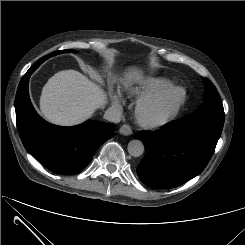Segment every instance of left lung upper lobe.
<instances>
[{
	"label": "left lung upper lobe",
	"instance_id": "obj_1",
	"mask_svg": "<svg viewBox=\"0 0 245 245\" xmlns=\"http://www.w3.org/2000/svg\"><path fill=\"white\" fill-rule=\"evenodd\" d=\"M205 84L204 102L188 117L205 118L224 123L225 114L216 87L207 78H203Z\"/></svg>",
	"mask_w": 245,
	"mask_h": 245
}]
</instances>
